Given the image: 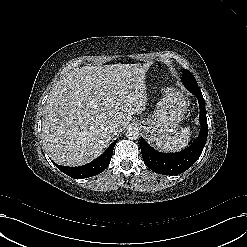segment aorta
<instances>
[{
  "label": "aorta",
  "mask_w": 247,
  "mask_h": 247,
  "mask_svg": "<svg viewBox=\"0 0 247 247\" xmlns=\"http://www.w3.org/2000/svg\"><path fill=\"white\" fill-rule=\"evenodd\" d=\"M126 137L131 140H136L139 138V130L138 128L132 127L128 128L126 132Z\"/></svg>",
  "instance_id": "obj_1"
}]
</instances>
